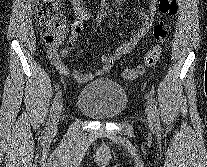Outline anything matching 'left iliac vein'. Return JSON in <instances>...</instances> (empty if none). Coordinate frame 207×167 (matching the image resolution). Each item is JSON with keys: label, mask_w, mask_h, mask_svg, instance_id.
<instances>
[{"label": "left iliac vein", "mask_w": 207, "mask_h": 167, "mask_svg": "<svg viewBox=\"0 0 207 167\" xmlns=\"http://www.w3.org/2000/svg\"><path fill=\"white\" fill-rule=\"evenodd\" d=\"M147 120L150 126V129L153 130V118L152 115L150 114V112L147 110Z\"/></svg>", "instance_id": "obj_1"}]
</instances>
